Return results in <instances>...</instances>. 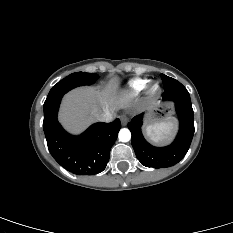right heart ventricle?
Listing matches in <instances>:
<instances>
[{
  "instance_id": "e07e8e85",
  "label": "right heart ventricle",
  "mask_w": 233,
  "mask_h": 233,
  "mask_svg": "<svg viewBox=\"0 0 233 233\" xmlns=\"http://www.w3.org/2000/svg\"><path fill=\"white\" fill-rule=\"evenodd\" d=\"M147 84H148L147 79H138L131 83L130 88L133 93L138 94L146 87Z\"/></svg>"
}]
</instances>
